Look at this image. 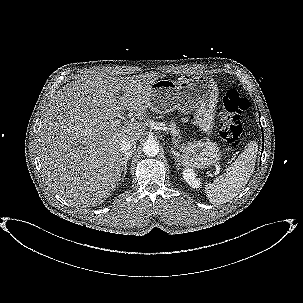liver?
Segmentation results:
<instances>
[{"mask_svg":"<svg viewBox=\"0 0 303 303\" xmlns=\"http://www.w3.org/2000/svg\"><path fill=\"white\" fill-rule=\"evenodd\" d=\"M160 77L86 75L51 99L38 131L39 157L48 185L69 205L94 207L111 195L122 173L121 139L137 141L145 132L141 122L121 126L116 117L121 110L146 116Z\"/></svg>","mask_w":303,"mask_h":303,"instance_id":"1","label":"liver"}]
</instances>
